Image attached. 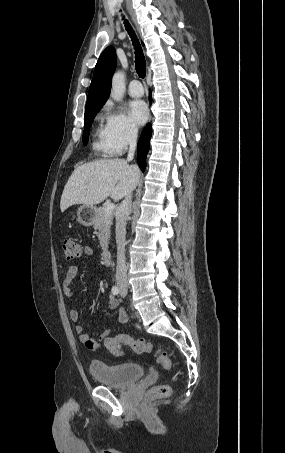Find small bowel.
<instances>
[{
	"instance_id": "1",
	"label": "small bowel",
	"mask_w": 285,
	"mask_h": 453,
	"mask_svg": "<svg viewBox=\"0 0 285 453\" xmlns=\"http://www.w3.org/2000/svg\"><path fill=\"white\" fill-rule=\"evenodd\" d=\"M82 252L85 255H91L93 253V249L90 246H84ZM77 267L76 266H69L65 275V278L62 281V289L66 296L70 297L73 295V281L77 275ZM108 306L110 309H117L118 308V301L117 299L110 295L108 300ZM69 317L73 322H77L79 320V312L76 309H71L69 312ZM127 314L124 309L119 308L117 310V320L119 323L123 324L127 322ZM75 331L79 336L81 343L90 351H96L100 348V341L106 339L110 333V329H105L99 336L98 339L93 338L90 334L85 332L83 325L77 324L75 326Z\"/></svg>"
}]
</instances>
